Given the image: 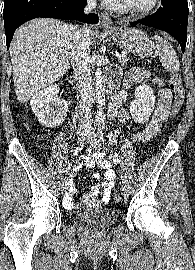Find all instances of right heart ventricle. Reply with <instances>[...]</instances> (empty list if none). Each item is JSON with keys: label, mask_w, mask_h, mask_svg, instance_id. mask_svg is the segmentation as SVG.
Segmentation results:
<instances>
[{"label": "right heart ventricle", "mask_w": 195, "mask_h": 270, "mask_svg": "<svg viewBox=\"0 0 195 270\" xmlns=\"http://www.w3.org/2000/svg\"><path fill=\"white\" fill-rule=\"evenodd\" d=\"M108 6H109L112 10H114V11L122 12V11L119 9V5H118L117 0H109V1H108Z\"/></svg>", "instance_id": "1"}]
</instances>
